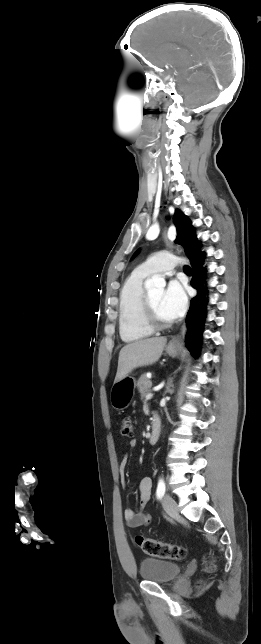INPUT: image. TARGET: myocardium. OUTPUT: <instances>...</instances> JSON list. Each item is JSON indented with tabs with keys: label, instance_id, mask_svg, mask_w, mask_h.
<instances>
[{
	"label": "myocardium",
	"instance_id": "1",
	"mask_svg": "<svg viewBox=\"0 0 261 644\" xmlns=\"http://www.w3.org/2000/svg\"><path fill=\"white\" fill-rule=\"evenodd\" d=\"M143 318L147 326L152 330L167 329L172 325V321H163L155 313L149 293L145 291L143 297Z\"/></svg>",
	"mask_w": 261,
	"mask_h": 644
}]
</instances>
